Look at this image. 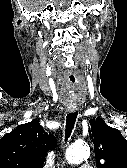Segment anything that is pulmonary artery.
Here are the masks:
<instances>
[{"mask_svg": "<svg viewBox=\"0 0 127 168\" xmlns=\"http://www.w3.org/2000/svg\"><path fill=\"white\" fill-rule=\"evenodd\" d=\"M78 168H92V166L89 164H82Z\"/></svg>", "mask_w": 127, "mask_h": 168, "instance_id": "e3ab8cb5", "label": "pulmonary artery"}]
</instances>
